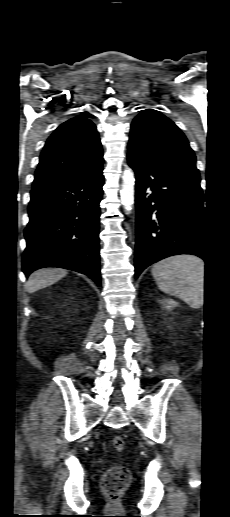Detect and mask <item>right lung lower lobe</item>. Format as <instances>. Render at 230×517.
<instances>
[{"label": "right lung lower lobe", "instance_id": "1", "mask_svg": "<svg viewBox=\"0 0 230 517\" xmlns=\"http://www.w3.org/2000/svg\"><path fill=\"white\" fill-rule=\"evenodd\" d=\"M103 167L86 176L31 190L23 272L61 267L91 277L98 286L99 203Z\"/></svg>", "mask_w": 230, "mask_h": 517}]
</instances>
